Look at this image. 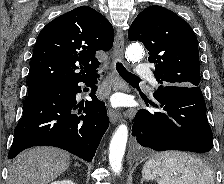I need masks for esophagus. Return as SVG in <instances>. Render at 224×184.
Instances as JSON below:
<instances>
[{
	"mask_svg": "<svg viewBox=\"0 0 224 184\" xmlns=\"http://www.w3.org/2000/svg\"><path fill=\"white\" fill-rule=\"evenodd\" d=\"M123 50H124V33L121 29L117 30L115 41H114V57L122 61L123 59ZM112 71L115 74V66L112 65ZM108 116L112 124H116L121 120V114L113 109L108 110Z\"/></svg>",
	"mask_w": 224,
	"mask_h": 184,
	"instance_id": "1",
	"label": "esophagus"
}]
</instances>
